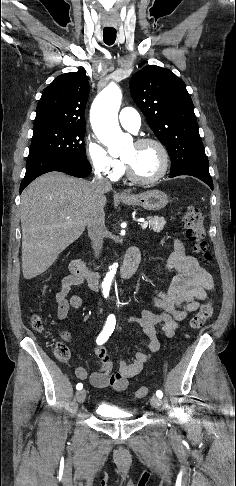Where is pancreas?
<instances>
[{
  "label": "pancreas",
  "mask_w": 236,
  "mask_h": 486,
  "mask_svg": "<svg viewBox=\"0 0 236 486\" xmlns=\"http://www.w3.org/2000/svg\"><path fill=\"white\" fill-rule=\"evenodd\" d=\"M148 222H149V228L155 232H160L163 230L165 224H166V221L163 217H159V216H149L148 218Z\"/></svg>",
  "instance_id": "cf45deb5"
}]
</instances>
